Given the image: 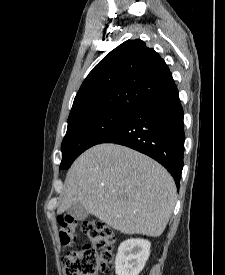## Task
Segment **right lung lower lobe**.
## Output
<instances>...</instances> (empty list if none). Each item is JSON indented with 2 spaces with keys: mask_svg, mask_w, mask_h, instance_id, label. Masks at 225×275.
Instances as JSON below:
<instances>
[{
  "mask_svg": "<svg viewBox=\"0 0 225 275\" xmlns=\"http://www.w3.org/2000/svg\"><path fill=\"white\" fill-rule=\"evenodd\" d=\"M183 109L178 90L150 99L133 109L100 143H116L162 164L180 186L184 153Z\"/></svg>",
  "mask_w": 225,
  "mask_h": 275,
  "instance_id": "right-lung-lower-lobe-1",
  "label": "right lung lower lobe"
}]
</instances>
